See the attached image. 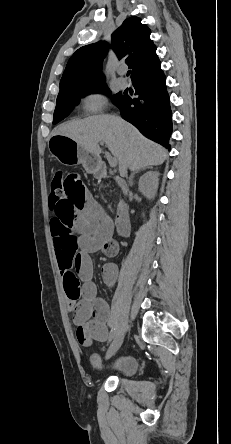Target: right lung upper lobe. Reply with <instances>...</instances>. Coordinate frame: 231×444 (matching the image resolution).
Returning <instances> with one entry per match:
<instances>
[{
  "mask_svg": "<svg viewBox=\"0 0 231 444\" xmlns=\"http://www.w3.org/2000/svg\"><path fill=\"white\" fill-rule=\"evenodd\" d=\"M151 30L138 17H130L112 34V49L125 59L133 80L160 66ZM109 45L105 41L80 47L69 59L60 81V93L105 85L101 65Z\"/></svg>",
  "mask_w": 231,
  "mask_h": 444,
  "instance_id": "obj_1",
  "label": "right lung upper lobe"
}]
</instances>
